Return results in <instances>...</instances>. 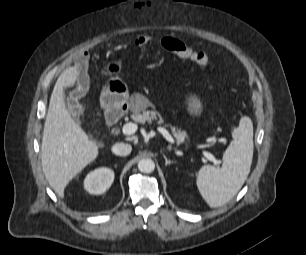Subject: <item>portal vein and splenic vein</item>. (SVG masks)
<instances>
[{"instance_id": "18ae733b", "label": "portal vein and splenic vein", "mask_w": 306, "mask_h": 255, "mask_svg": "<svg viewBox=\"0 0 306 255\" xmlns=\"http://www.w3.org/2000/svg\"><path fill=\"white\" fill-rule=\"evenodd\" d=\"M138 129V126L137 124L135 123H132V122H129V123H126L125 125H123L122 127V133L124 135H132L134 134ZM158 132L161 133L163 135V137L168 140L169 142L173 143L174 142V139L172 138V136L170 135V133L163 127H158L157 128ZM203 155L209 160L211 161L212 163H214L215 165H218L220 166L221 164V161L220 160H217L213 154H211L210 152L208 151H205L203 150L202 151Z\"/></svg>"}]
</instances>
